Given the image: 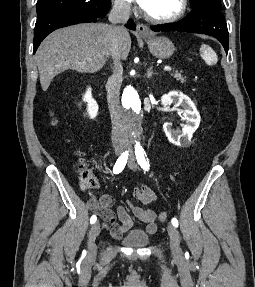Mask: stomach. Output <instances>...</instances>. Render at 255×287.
<instances>
[{
	"mask_svg": "<svg viewBox=\"0 0 255 287\" xmlns=\"http://www.w3.org/2000/svg\"><path fill=\"white\" fill-rule=\"evenodd\" d=\"M144 42L148 44V48L155 56V58H159V60H167V58H171L175 52V46L170 42L169 38H165V36H147V38H143Z\"/></svg>",
	"mask_w": 255,
	"mask_h": 287,
	"instance_id": "stomach-1",
	"label": "stomach"
}]
</instances>
